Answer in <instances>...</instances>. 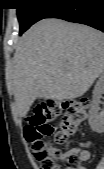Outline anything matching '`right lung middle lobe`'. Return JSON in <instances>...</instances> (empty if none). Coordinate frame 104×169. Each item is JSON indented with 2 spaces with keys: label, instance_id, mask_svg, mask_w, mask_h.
Instances as JSON below:
<instances>
[{
  "label": "right lung middle lobe",
  "instance_id": "1",
  "mask_svg": "<svg viewBox=\"0 0 104 169\" xmlns=\"http://www.w3.org/2000/svg\"><path fill=\"white\" fill-rule=\"evenodd\" d=\"M68 0H16L17 17L20 24L21 35L37 21L47 18L61 4Z\"/></svg>",
  "mask_w": 104,
  "mask_h": 169
}]
</instances>
